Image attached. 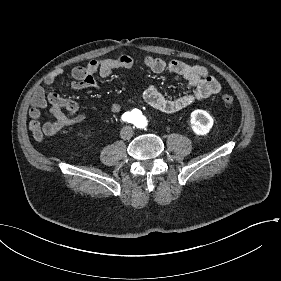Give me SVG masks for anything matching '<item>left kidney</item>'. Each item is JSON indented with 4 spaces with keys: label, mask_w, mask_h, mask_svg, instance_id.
Wrapping results in <instances>:
<instances>
[{
    "label": "left kidney",
    "mask_w": 281,
    "mask_h": 281,
    "mask_svg": "<svg viewBox=\"0 0 281 281\" xmlns=\"http://www.w3.org/2000/svg\"><path fill=\"white\" fill-rule=\"evenodd\" d=\"M190 123L197 135H205L213 126V118L206 111L198 109L191 113Z\"/></svg>",
    "instance_id": "1"
}]
</instances>
